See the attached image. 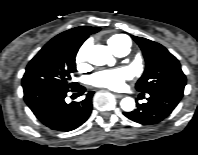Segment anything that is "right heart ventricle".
I'll return each instance as SVG.
<instances>
[{
  "mask_svg": "<svg viewBox=\"0 0 198 155\" xmlns=\"http://www.w3.org/2000/svg\"><path fill=\"white\" fill-rule=\"evenodd\" d=\"M127 39L122 35H112L108 38V44L114 53H117L125 44Z\"/></svg>",
  "mask_w": 198,
  "mask_h": 155,
  "instance_id": "1",
  "label": "right heart ventricle"
}]
</instances>
